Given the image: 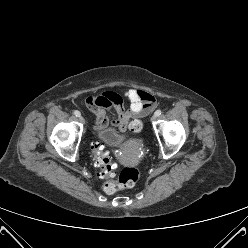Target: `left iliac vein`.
<instances>
[{
    "label": "left iliac vein",
    "instance_id": "1",
    "mask_svg": "<svg viewBox=\"0 0 248 248\" xmlns=\"http://www.w3.org/2000/svg\"><path fill=\"white\" fill-rule=\"evenodd\" d=\"M156 118H157V116L154 114V115L151 117V121H154Z\"/></svg>",
    "mask_w": 248,
    "mask_h": 248
}]
</instances>
